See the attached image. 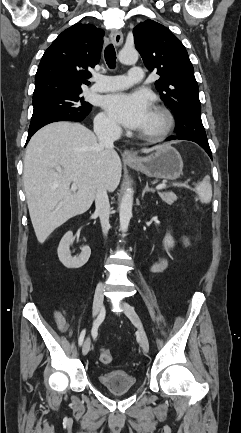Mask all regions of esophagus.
Wrapping results in <instances>:
<instances>
[{
    "instance_id": "esophagus-1",
    "label": "esophagus",
    "mask_w": 241,
    "mask_h": 433,
    "mask_svg": "<svg viewBox=\"0 0 241 433\" xmlns=\"http://www.w3.org/2000/svg\"><path fill=\"white\" fill-rule=\"evenodd\" d=\"M110 39L115 46H120L123 43V35L120 31H112L110 33ZM123 157L126 160H135L136 159V155L128 149L124 151Z\"/></svg>"
}]
</instances>
